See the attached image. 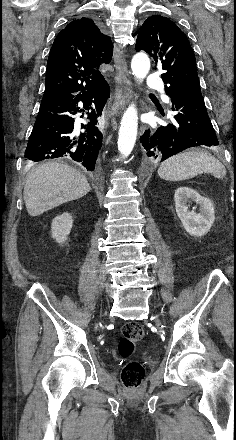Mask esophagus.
Listing matches in <instances>:
<instances>
[{"label": "esophagus", "mask_w": 236, "mask_h": 440, "mask_svg": "<svg viewBox=\"0 0 236 440\" xmlns=\"http://www.w3.org/2000/svg\"><path fill=\"white\" fill-rule=\"evenodd\" d=\"M114 66L116 69V93L112 106V114H118L126 105L131 95V81L125 59L124 51L118 47L114 53Z\"/></svg>", "instance_id": "obj_1"}]
</instances>
